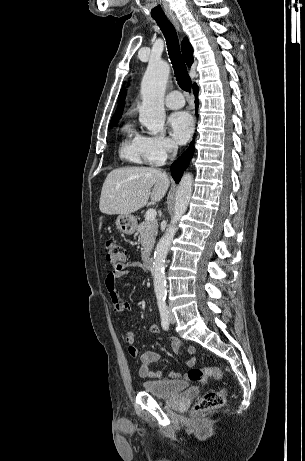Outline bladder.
I'll return each mask as SVG.
<instances>
[{
	"instance_id": "31cf9c89",
	"label": "bladder",
	"mask_w": 305,
	"mask_h": 461,
	"mask_svg": "<svg viewBox=\"0 0 305 461\" xmlns=\"http://www.w3.org/2000/svg\"><path fill=\"white\" fill-rule=\"evenodd\" d=\"M141 385L145 392L161 398H174L189 388L187 381L169 379H145Z\"/></svg>"
}]
</instances>
